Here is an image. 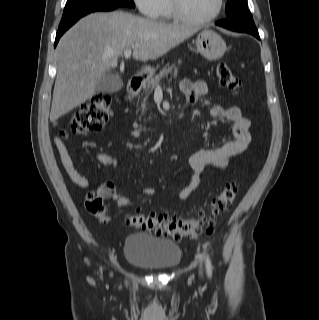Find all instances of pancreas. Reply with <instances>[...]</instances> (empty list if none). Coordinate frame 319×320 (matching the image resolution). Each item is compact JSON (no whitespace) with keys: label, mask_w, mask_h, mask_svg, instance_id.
Segmentation results:
<instances>
[{"label":"pancreas","mask_w":319,"mask_h":320,"mask_svg":"<svg viewBox=\"0 0 319 320\" xmlns=\"http://www.w3.org/2000/svg\"><path fill=\"white\" fill-rule=\"evenodd\" d=\"M177 72H178V68L175 66V64H172L171 66L168 64L159 72V74L155 75V77L149 79L146 83H144L143 85L144 92L142 94V96L143 95L144 96L141 103L142 113H144L147 110L146 105H147L148 97L150 93L153 91V89H155L156 86L159 84L161 79L165 76H168L170 73L176 74Z\"/></svg>","instance_id":"obj_1"}]
</instances>
